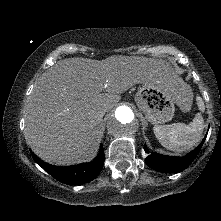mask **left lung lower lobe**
<instances>
[{
	"label": "left lung lower lobe",
	"mask_w": 221,
	"mask_h": 221,
	"mask_svg": "<svg viewBox=\"0 0 221 221\" xmlns=\"http://www.w3.org/2000/svg\"><path fill=\"white\" fill-rule=\"evenodd\" d=\"M205 139L206 137L196 149L188 153L186 156L172 157L152 152L148 157H146L145 162L150 168L163 173L182 171L186 169L195 159ZM144 150L146 153H149L146 145H144Z\"/></svg>",
	"instance_id": "1"
}]
</instances>
